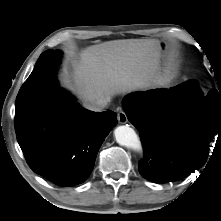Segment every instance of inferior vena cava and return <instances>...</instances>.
I'll return each mask as SVG.
<instances>
[{"mask_svg": "<svg viewBox=\"0 0 221 221\" xmlns=\"http://www.w3.org/2000/svg\"><path fill=\"white\" fill-rule=\"evenodd\" d=\"M110 102L109 97H100L96 100L84 103L86 109L99 112L108 106Z\"/></svg>", "mask_w": 221, "mask_h": 221, "instance_id": "602c4592", "label": "inferior vena cava"}]
</instances>
